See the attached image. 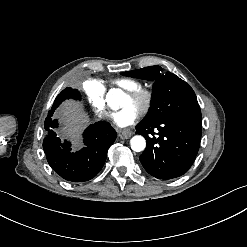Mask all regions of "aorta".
<instances>
[{
  "mask_svg": "<svg viewBox=\"0 0 247 247\" xmlns=\"http://www.w3.org/2000/svg\"><path fill=\"white\" fill-rule=\"evenodd\" d=\"M121 98V93L119 90H111L107 94V102L110 107L117 108L118 102ZM131 149L136 152H141L146 147V140L141 135H136L130 140Z\"/></svg>",
  "mask_w": 247,
  "mask_h": 247,
  "instance_id": "obj_1",
  "label": "aorta"
}]
</instances>
